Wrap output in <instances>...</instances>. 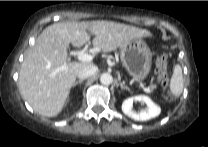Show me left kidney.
<instances>
[{"mask_svg":"<svg viewBox=\"0 0 208 147\" xmlns=\"http://www.w3.org/2000/svg\"><path fill=\"white\" fill-rule=\"evenodd\" d=\"M138 101L146 104L147 108L142 110L140 113H136L133 111V102ZM122 111L124 114L129 116L130 118L136 121H147L154 117H157L161 109L158 105H156L148 96L138 95L128 99H125L122 103Z\"/></svg>","mask_w":208,"mask_h":147,"instance_id":"5707ae66","label":"left kidney"}]
</instances>
